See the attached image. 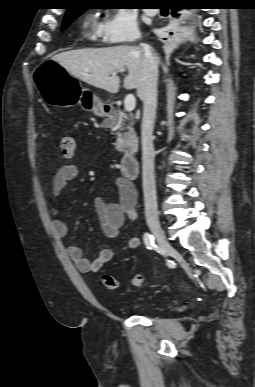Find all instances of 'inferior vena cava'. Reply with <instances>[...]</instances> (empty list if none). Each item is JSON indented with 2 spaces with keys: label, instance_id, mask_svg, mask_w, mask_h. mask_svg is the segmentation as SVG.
<instances>
[{
  "label": "inferior vena cava",
  "instance_id": "obj_1",
  "mask_svg": "<svg viewBox=\"0 0 255 387\" xmlns=\"http://www.w3.org/2000/svg\"><path fill=\"white\" fill-rule=\"evenodd\" d=\"M144 51V83L138 90L143 101L142 119V159H143V192L145 216L147 222H158L157 197L154 174L153 127L157 107V59L147 44H141Z\"/></svg>",
  "mask_w": 255,
  "mask_h": 387
}]
</instances>
